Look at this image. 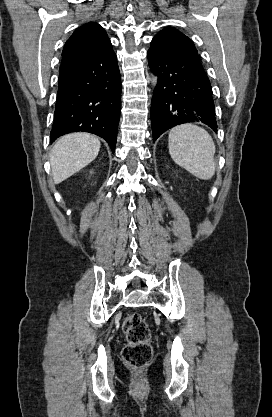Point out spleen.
Here are the masks:
<instances>
[{"label":"spleen","instance_id":"spleen-1","mask_svg":"<svg viewBox=\"0 0 272 417\" xmlns=\"http://www.w3.org/2000/svg\"><path fill=\"white\" fill-rule=\"evenodd\" d=\"M169 153L176 164L202 180L215 174V144L203 128L192 124L174 127L169 132Z\"/></svg>","mask_w":272,"mask_h":417}]
</instances>
